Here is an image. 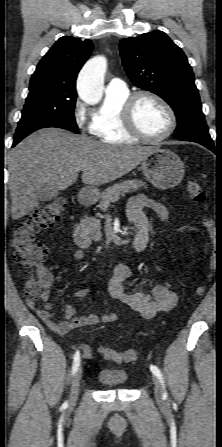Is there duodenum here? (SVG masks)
I'll return each instance as SVG.
<instances>
[{
	"label": "duodenum",
	"instance_id": "1",
	"mask_svg": "<svg viewBox=\"0 0 222 447\" xmlns=\"http://www.w3.org/2000/svg\"><path fill=\"white\" fill-rule=\"evenodd\" d=\"M79 202L83 206H89L93 203V196L86 190L79 193ZM73 237L76 244L81 248H87L91 245L92 239L85 229L81 220L75 222L73 226Z\"/></svg>",
	"mask_w": 222,
	"mask_h": 447
}]
</instances>
